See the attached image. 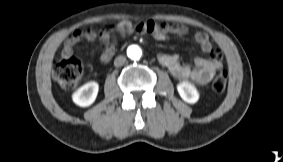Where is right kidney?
<instances>
[{
  "label": "right kidney",
  "mask_w": 283,
  "mask_h": 162,
  "mask_svg": "<svg viewBox=\"0 0 283 162\" xmlns=\"http://www.w3.org/2000/svg\"><path fill=\"white\" fill-rule=\"evenodd\" d=\"M98 90V83L90 81L73 93V102L80 107H88L95 101Z\"/></svg>",
  "instance_id": "right-kidney-1"
}]
</instances>
